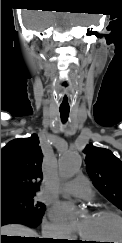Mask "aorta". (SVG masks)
I'll return each mask as SVG.
<instances>
[{
  "instance_id": "1",
  "label": "aorta",
  "mask_w": 122,
  "mask_h": 243,
  "mask_svg": "<svg viewBox=\"0 0 122 243\" xmlns=\"http://www.w3.org/2000/svg\"><path fill=\"white\" fill-rule=\"evenodd\" d=\"M80 166L81 159L78 154L70 151L65 152L59 159V175L62 178L69 180L80 171Z\"/></svg>"
}]
</instances>
